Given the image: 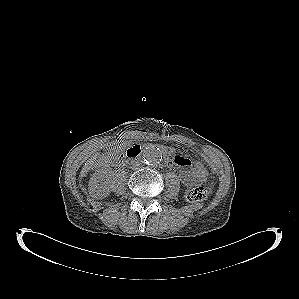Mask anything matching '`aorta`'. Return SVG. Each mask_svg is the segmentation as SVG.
<instances>
[{
    "instance_id": "obj_1",
    "label": "aorta",
    "mask_w": 299,
    "mask_h": 299,
    "mask_svg": "<svg viewBox=\"0 0 299 299\" xmlns=\"http://www.w3.org/2000/svg\"><path fill=\"white\" fill-rule=\"evenodd\" d=\"M143 160L148 165H157L162 160V151L157 146H147L143 150Z\"/></svg>"
}]
</instances>
